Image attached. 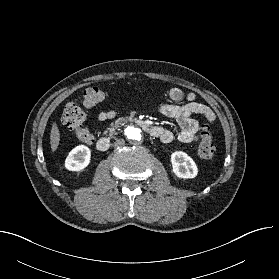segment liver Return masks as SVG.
I'll list each match as a JSON object with an SVG mask.
<instances>
[{"mask_svg":"<svg viewBox=\"0 0 279 279\" xmlns=\"http://www.w3.org/2000/svg\"><path fill=\"white\" fill-rule=\"evenodd\" d=\"M59 141H60V132L57 124L54 122L52 124L51 133H50V145H51L52 152H55L56 149L58 148Z\"/></svg>","mask_w":279,"mask_h":279,"instance_id":"obj_1","label":"liver"}]
</instances>
